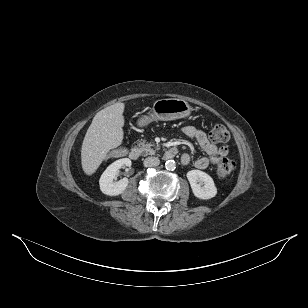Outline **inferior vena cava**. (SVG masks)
<instances>
[{"instance_id": "1", "label": "inferior vena cava", "mask_w": 308, "mask_h": 308, "mask_svg": "<svg viewBox=\"0 0 308 308\" xmlns=\"http://www.w3.org/2000/svg\"><path fill=\"white\" fill-rule=\"evenodd\" d=\"M143 164L145 167H156L160 164V160L157 157H147Z\"/></svg>"}]
</instances>
